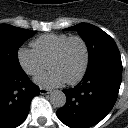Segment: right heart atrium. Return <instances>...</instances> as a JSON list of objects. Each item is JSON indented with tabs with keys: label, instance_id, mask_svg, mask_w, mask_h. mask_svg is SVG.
Returning a JSON list of instances; mask_svg holds the SVG:
<instances>
[{
	"label": "right heart atrium",
	"instance_id": "d8ad5b80",
	"mask_svg": "<svg viewBox=\"0 0 128 128\" xmlns=\"http://www.w3.org/2000/svg\"><path fill=\"white\" fill-rule=\"evenodd\" d=\"M17 60L20 67L30 76H36L46 68V63L33 49L28 47L18 49Z\"/></svg>",
	"mask_w": 128,
	"mask_h": 128
}]
</instances>
